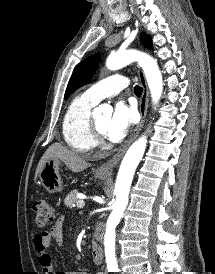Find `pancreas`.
I'll return each instance as SVG.
<instances>
[{
    "label": "pancreas",
    "mask_w": 215,
    "mask_h": 274,
    "mask_svg": "<svg viewBox=\"0 0 215 274\" xmlns=\"http://www.w3.org/2000/svg\"><path fill=\"white\" fill-rule=\"evenodd\" d=\"M77 194L78 191L74 190L71 191L65 198L64 200V204L69 207L70 209H72V207L74 206L75 203H77L78 199H77Z\"/></svg>",
    "instance_id": "1"
}]
</instances>
